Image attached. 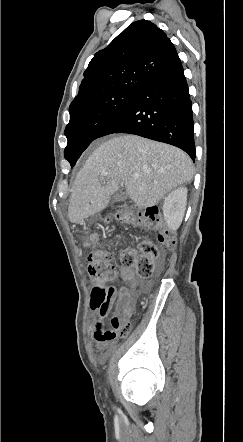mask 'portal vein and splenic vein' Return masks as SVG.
I'll return each mask as SVG.
<instances>
[{"mask_svg":"<svg viewBox=\"0 0 243 442\" xmlns=\"http://www.w3.org/2000/svg\"><path fill=\"white\" fill-rule=\"evenodd\" d=\"M105 175H106V173H103V174L101 175V177H103V176H105ZM132 177H133L134 179H138V178H139V174H138V173H134Z\"/></svg>","mask_w":243,"mask_h":442,"instance_id":"1","label":"portal vein and splenic vein"}]
</instances>
